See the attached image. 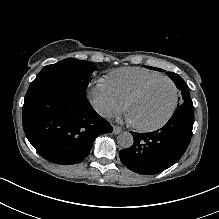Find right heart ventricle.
Returning <instances> with one entry per match:
<instances>
[{
    "label": "right heart ventricle",
    "instance_id": "right-heart-ventricle-1",
    "mask_svg": "<svg viewBox=\"0 0 219 219\" xmlns=\"http://www.w3.org/2000/svg\"><path fill=\"white\" fill-rule=\"evenodd\" d=\"M162 77L158 72L146 69L127 67L110 72L104 81L109 86L115 97L122 103L128 96L145 83Z\"/></svg>",
    "mask_w": 219,
    "mask_h": 219
}]
</instances>
